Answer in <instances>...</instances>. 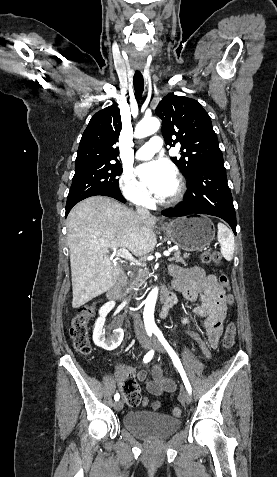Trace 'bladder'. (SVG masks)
Listing matches in <instances>:
<instances>
[{"label":"bladder","instance_id":"obj_1","mask_svg":"<svg viewBox=\"0 0 277 477\" xmlns=\"http://www.w3.org/2000/svg\"><path fill=\"white\" fill-rule=\"evenodd\" d=\"M123 423L136 436L149 440L167 438L181 426L179 419L151 411H130L125 414Z\"/></svg>","mask_w":277,"mask_h":477}]
</instances>
